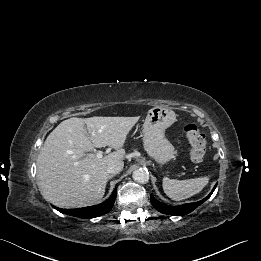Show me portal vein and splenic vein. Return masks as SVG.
Wrapping results in <instances>:
<instances>
[{
  "label": "portal vein and splenic vein",
  "instance_id": "portal-vein-and-splenic-vein-1",
  "mask_svg": "<svg viewBox=\"0 0 261 261\" xmlns=\"http://www.w3.org/2000/svg\"><path fill=\"white\" fill-rule=\"evenodd\" d=\"M102 156H103V155H102V152H101V151H98V152H97V157H98V158H101Z\"/></svg>",
  "mask_w": 261,
  "mask_h": 261
}]
</instances>
